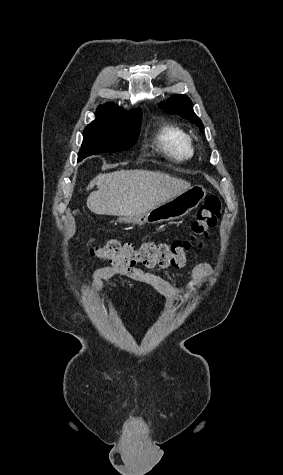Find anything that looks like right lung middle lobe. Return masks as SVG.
Listing matches in <instances>:
<instances>
[{
	"mask_svg": "<svg viewBox=\"0 0 283 475\" xmlns=\"http://www.w3.org/2000/svg\"><path fill=\"white\" fill-rule=\"evenodd\" d=\"M141 120L140 109L125 113L120 108H97L96 120L84 130L78 161L90 155L132 147L137 141Z\"/></svg>",
	"mask_w": 283,
	"mask_h": 475,
	"instance_id": "right-lung-middle-lobe-1",
	"label": "right lung middle lobe"
}]
</instances>
